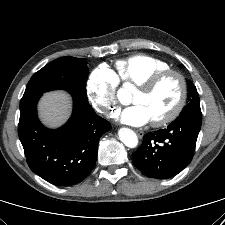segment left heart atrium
<instances>
[{"instance_id": "1", "label": "left heart atrium", "mask_w": 225, "mask_h": 225, "mask_svg": "<svg viewBox=\"0 0 225 225\" xmlns=\"http://www.w3.org/2000/svg\"><path fill=\"white\" fill-rule=\"evenodd\" d=\"M117 119L132 126H142L151 121L147 110L140 104H133L123 108L117 113Z\"/></svg>"}]
</instances>
